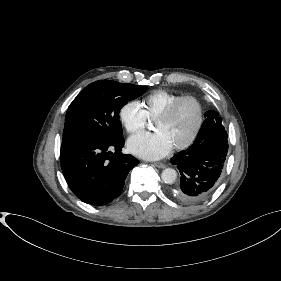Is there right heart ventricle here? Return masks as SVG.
<instances>
[{
    "label": "right heart ventricle",
    "instance_id": "e07e8e85",
    "mask_svg": "<svg viewBox=\"0 0 281 281\" xmlns=\"http://www.w3.org/2000/svg\"><path fill=\"white\" fill-rule=\"evenodd\" d=\"M181 96L166 90H155L144 96L138 103L148 119H155L164 108Z\"/></svg>",
    "mask_w": 281,
    "mask_h": 281
}]
</instances>
